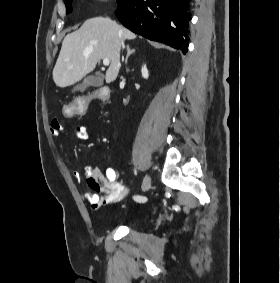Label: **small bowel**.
Here are the masks:
<instances>
[{
	"mask_svg": "<svg viewBox=\"0 0 280 283\" xmlns=\"http://www.w3.org/2000/svg\"><path fill=\"white\" fill-rule=\"evenodd\" d=\"M49 130L52 136L57 137L63 133L64 128L60 121L53 120ZM73 136L78 140H87L88 130L84 125H78L73 129ZM84 173L90 189L85 197L93 210H100L107 205L117 203L130 192L129 188L117 179L115 171L111 168L106 170L105 177L99 168L90 165L85 166ZM72 176L80 179L81 172L74 170Z\"/></svg>",
	"mask_w": 280,
	"mask_h": 283,
	"instance_id": "obj_1",
	"label": "small bowel"
}]
</instances>
